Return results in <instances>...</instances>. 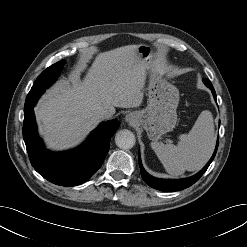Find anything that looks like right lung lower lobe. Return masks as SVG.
Here are the masks:
<instances>
[{"mask_svg":"<svg viewBox=\"0 0 247 247\" xmlns=\"http://www.w3.org/2000/svg\"><path fill=\"white\" fill-rule=\"evenodd\" d=\"M41 95L28 94L24 106L23 138L32 166L48 181L61 186H76L86 182L101 167L111 136L119 128L117 120L102 123L77 149L53 153L37 135L33 107Z\"/></svg>","mask_w":247,"mask_h":247,"instance_id":"right-lung-lower-lobe-1","label":"right lung lower lobe"}]
</instances>
